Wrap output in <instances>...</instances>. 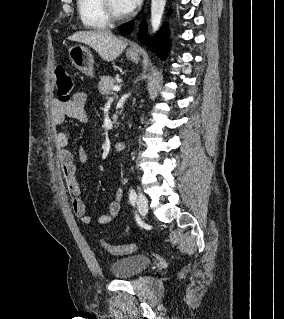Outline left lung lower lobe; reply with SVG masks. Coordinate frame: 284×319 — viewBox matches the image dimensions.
<instances>
[{
    "label": "left lung lower lobe",
    "mask_w": 284,
    "mask_h": 319,
    "mask_svg": "<svg viewBox=\"0 0 284 319\" xmlns=\"http://www.w3.org/2000/svg\"><path fill=\"white\" fill-rule=\"evenodd\" d=\"M133 25V22H128L120 26L118 30L123 34H129L132 31ZM146 31L147 26L145 22H142L140 25V32L138 35L139 41L144 43L151 50L155 51L162 59L166 57L167 51L170 46L167 31L164 30L160 32V34H157L155 43L149 41V36L147 35Z\"/></svg>",
    "instance_id": "0a47b994"
}]
</instances>
